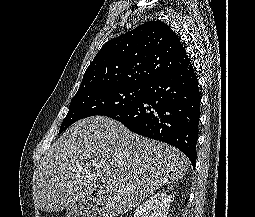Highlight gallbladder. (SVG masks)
<instances>
[{"instance_id": "1", "label": "gallbladder", "mask_w": 255, "mask_h": 217, "mask_svg": "<svg viewBox=\"0 0 255 217\" xmlns=\"http://www.w3.org/2000/svg\"><path fill=\"white\" fill-rule=\"evenodd\" d=\"M97 213L93 198L87 197L67 208L66 217H92Z\"/></svg>"}]
</instances>
